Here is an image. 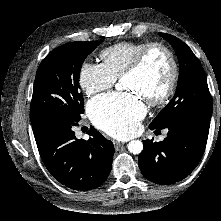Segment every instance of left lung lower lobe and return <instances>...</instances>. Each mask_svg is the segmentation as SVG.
<instances>
[{
    "label": "left lung lower lobe",
    "mask_w": 221,
    "mask_h": 221,
    "mask_svg": "<svg viewBox=\"0 0 221 221\" xmlns=\"http://www.w3.org/2000/svg\"><path fill=\"white\" fill-rule=\"evenodd\" d=\"M209 127V119L185 118L166 127L167 137L162 142L143 141L138 163L144 177L158 184H173L188 176L203 155Z\"/></svg>",
    "instance_id": "obj_1"
}]
</instances>
